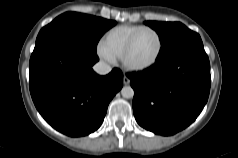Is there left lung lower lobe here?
I'll return each instance as SVG.
<instances>
[{
    "instance_id": "1",
    "label": "left lung lower lobe",
    "mask_w": 238,
    "mask_h": 158,
    "mask_svg": "<svg viewBox=\"0 0 238 158\" xmlns=\"http://www.w3.org/2000/svg\"><path fill=\"white\" fill-rule=\"evenodd\" d=\"M134 89L133 112L143 128L173 135L189 126L210 91V63L201 38L157 57L151 67L127 74Z\"/></svg>"
}]
</instances>
